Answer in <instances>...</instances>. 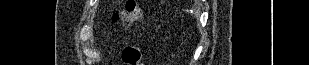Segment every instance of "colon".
<instances>
[{
	"instance_id": "colon-1",
	"label": "colon",
	"mask_w": 309,
	"mask_h": 65,
	"mask_svg": "<svg viewBox=\"0 0 309 65\" xmlns=\"http://www.w3.org/2000/svg\"><path fill=\"white\" fill-rule=\"evenodd\" d=\"M143 18V9L137 1H128L123 10L116 11L112 15V20L115 23H120L124 26H129ZM141 41H134L127 44L122 53V60L125 65H140L141 56Z\"/></svg>"
}]
</instances>
